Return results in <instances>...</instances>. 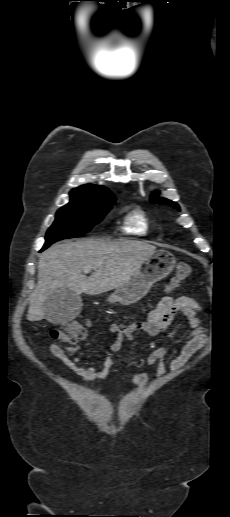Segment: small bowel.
<instances>
[{
  "label": "small bowel",
  "mask_w": 230,
  "mask_h": 517,
  "mask_svg": "<svg viewBox=\"0 0 230 517\" xmlns=\"http://www.w3.org/2000/svg\"><path fill=\"white\" fill-rule=\"evenodd\" d=\"M200 311L198 303L189 296L173 298L165 296L158 302L157 306L148 312L145 320H132L128 323H112L109 331L116 336L115 342L111 345V350L118 353L121 349L124 338L132 339L135 332L141 331L149 336H157L165 333L176 314H180L186 322V327L190 329L185 344L179 354L172 360L169 370L178 371L189 359L198 354L207 342V337L197 314ZM80 345L74 347H64L53 343L49 347L48 356L50 359L60 360L66 367L76 372L84 381L93 382L105 377L114 367L113 358L107 356L103 359L101 368L95 366L81 367L77 365L79 359L76 356ZM169 348L167 346L152 351L147 359L148 365L156 364V374L158 377L165 375L167 369L163 363ZM147 375L144 371L137 372L133 379V386H145Z\"/></svg>",
  "instance_id": "small-bowel-1"
}]
</instances>
